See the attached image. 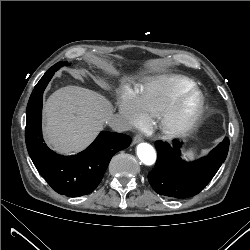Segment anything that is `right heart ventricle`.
<instances>
[{"instance_id": "right-heart-ventricle-1", "label": "right heart ventricle", "mask_w": 250, "mask_h": 250, "mask_svg": "<svg viewBox=\"0 0 250 250\" xmlns=\"http://www.w3.org/2000/svg\"><path fill=\"white\" fill-rule=\"evenodd\" d=\"M193 85L194 81L183 75H164L145 81L135 95L146 122L159 117L179 93Z\"/></svg>"}]
</instances>
